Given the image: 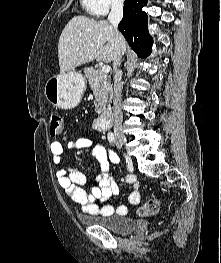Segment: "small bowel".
<instances>
[{"label": "small bowel", "mask_w": 221, "mask_h": 263, "mask_svg": "<svg viewBox=\"0 0 221 263\" xmlns=\"http://www.w3.org/2000/svg\"><path fill=\"white\" fill-rule=\"evenodd\" d=\"M93 132H78L75 135H65L61 141H54L50 144L52 160L56 165V177L59 186L66 194L76 202L81 209L89 214L112 215L116 212L119 215L127 213L125 205H119L116 209L106 202L113 195L119 193L110 164H119V156L107 149L93 139ZM89 148L100 166V173L96 176L94 186L90 192H86L81 186L86 182V176L81 171L75 170L63 163L65 150ZM123 182L132 186L129 194V202L138 205L140 202L139 183L134 174H127Z\"/></svg>", "instance_id": "1"}]
</instances>
